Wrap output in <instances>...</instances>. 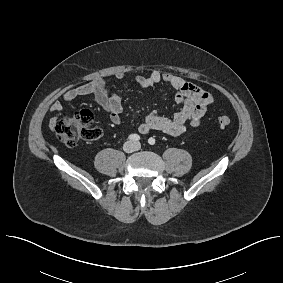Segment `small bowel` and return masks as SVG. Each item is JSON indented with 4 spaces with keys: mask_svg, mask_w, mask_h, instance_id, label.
Masks as SVG:
<instances>
[{
    "mask_svg": "<svg viewBox=\"0 0 283 283\" xmlns=\"http://www.w3.org/2000/svg\"><path fill=\"white\" fill-rule=\"evenodd\" d=\"M116 77L122 80L125 76L123 73H119ZM136 83L142 88H150L159 84L167 85L175 90L176 99L180 105V110L170 118L160 115L157 111L149 112L138 126V131L141 134L159 130L171 136L181 135L188 126L198 127L208 107L213 103V96L210 92L171 73L154 70L147 76H137ZM81 96L92 98L109 113L110 121L113 124H120L123 109L122 99L116 92L108 89L103 80L96 79L67 91L63 96V101L70 103ZM62 111V102L54 101L50 105V112L53 113L51 125L55 124Z\"/></svg>",
    "mask_w": 283,
    "mask_h": 283,
    "instance_id": "small-bowel-1",
    "label": "small bowel"
}]
</instances>
